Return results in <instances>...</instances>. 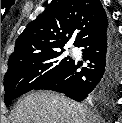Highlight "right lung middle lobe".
Here are the masks:
<instances>
[{
  "instance_id": "obj_1",
  "label": "right lung middle lobe",
  "mask_w": 122,
  "mask_h": 123,
  "mask_svg": "<svg viewBox=\"0 0 122 123\" xmlns=\"http://www.w3.org/2000/svg\"><path fill=\"white\" fill-rule=\"evenodd\" d=\"M63 51L31 56L9 65L4 77L6 106L65 71L73 60L63 57Z\"/></svg>"
}]
</instances>
